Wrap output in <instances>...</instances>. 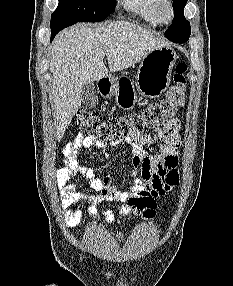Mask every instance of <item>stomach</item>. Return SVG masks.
<instances>
[{
    "mask_svg": "<svg viewBox=\"0 0 233 286\" xmlns=\"http://www.w3.org/2000/svg\"><path fill=\"white\" fill-rule=\"evenodd\" d=\"M176 52L169 46L151 51L140 62L136 76V91L141 97L156 98L170 85L172 68L177 59ZM136 92L131 84L126 89L113 86L110 95H114L119 106L129 109L136 102Z\"/></svg>",
    "mask_w": 233,
    "mask_h": 286,
    "instance_id": "1",
    "label": "stomach"
}]
</instances>
